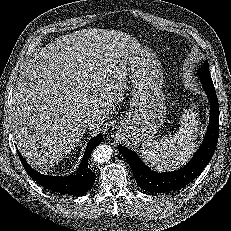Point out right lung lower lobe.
Returning a JSON list of instances; mask_svg holds the SVG:
<instances>
[{"label":"right lung lower lobe","mask_w":231,"mask_h":231,"mask_svg":"<svg viewBox=\"0 0 231 231\" xmlns=\"http://www.w3.org/2000/svg\"><path fill=\"white\" fill-rule=\"evenodd\" d=\"M103 135H97L92 138L86 148L83 159L75 175L70 176H47L38 173L30 167L19 153L20 161L26 172L44 188L68 195H82L90 190L95 182V174L88 167V157L92 150L102 140Z\"/></svg>","instance_id":"1"}]
</instances>
